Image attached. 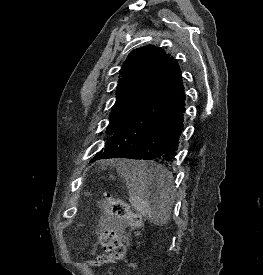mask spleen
Returning <instances> with one entry per match:
<instances>
[{"mask_svg": "<svg viewBox=\"0 0 263 275\" xmlns=\"http://www.w3.org/2000/svg\"><path fill=\"white\" fill-rule=\"evenodd\" d=\"M118 171L129 189V201L132 207L155 225H165L170 218L172 204V174L164 167L154 163L135 160H122L118 163ZM146 171H154L166 177V181H157ZM155 184L158 192L151 202L147 193Z\"/></svg>", "mask_w": 263, "mask_h": 275, "instance_id": "spleen-1", "label": "spleen"}]
</instances>
